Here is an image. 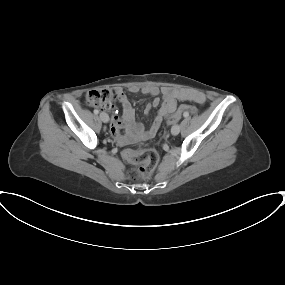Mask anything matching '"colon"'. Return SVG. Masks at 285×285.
I'll return each mask as SVG.
<instances>
[{"instance_id":"obj_1","label":"colon","mask_w":285,"mask_h":285,"mask_svg":"<svg viewBox=\"0 0 285 285\" xmlns=\"http://www.w3.org/2000/svg\"><path fill=\"white\" fill-rule=\"evenodd\" d=\"M116 95L108 89L92 90L86 94V103L91 107H99L101 109H112ZM196 113V108L193 106H182L179 110L169 118V122H175L182 115ZM123 157L136 165L128 171V177L132 180L149 179L159 156L153 148L126 149L123 151Z\"/></svg>"}]
</instances>
